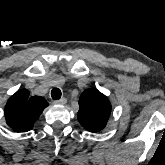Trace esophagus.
Segmentation results:
<instances>
[{
	"instance_id": "1",
	"label": "esophagus",
	"mask_w": 165,
	"mask_h": 165,
	"mask_svg": "<svg viewBox=\"0 0 165 165\" xmlns=\"http://www.w3.org/2000/svg\"><path fill=\"white\" fill-rule=\"evenodd\" d=\"M65 102H66V100L63 98L60 100H55L53 103L56 105H63V104H65Z\"/></svg>"
}]
</instances>
